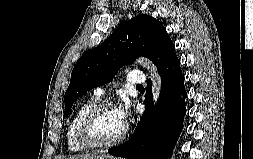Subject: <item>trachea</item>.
Listing matches in <instances>:
<instances>
[{"label": "trachea", "mask_w": 253, "mask_h": 159, "mask_svg": "<svg viewBox=\"0 0 253 159\" xmlns=\"http://www.w3.org/2000/svg\"><path fill=\"white\" fill-rule=\"evenodd\" d=\"M137 88H143V86L142 85H139V86H136Z\"/></svg>", "instance_id": "3493384b"}]
</instances>
